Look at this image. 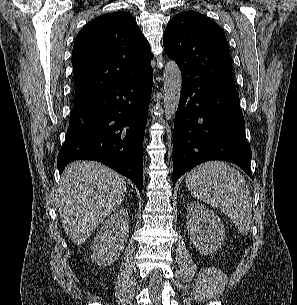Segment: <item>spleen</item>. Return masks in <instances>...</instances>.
<instances>
[{
	"mask_svg": "<svg viewBox=\"0 0 297 305\" xmlns=\"http://www.w3.org/2000/svg\"><path fill=\"white\" fill-rule=\"evenodd\" d=\"M185 182L195 198L220 209L241 234H248L252 202L248 185L239 171L225 162H207L191 170Z\"/></svg>",
	"mask_w": 297,
	"mask_h": 305,
	"instance_id": "spleen-1",
	"label": "spleen"
}]
</instances>
